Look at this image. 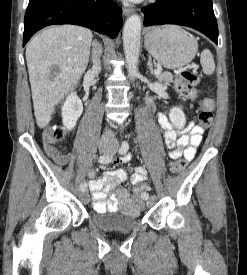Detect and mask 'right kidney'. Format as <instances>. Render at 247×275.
I'll return each mask as SVG.
<instances>
[{
	"label": "right kidney",
	"instance_id": "right-kidney-1",
	"mask_svg": "<svg viewBox=\"0 0 247 275\" xmlns=\"http://www.w3.org/2000/svg\"><path fill=\"white\" fill-rule=\"evenodd\" d=\"M83 112V104L76 93H71L62 106V122L63 125L68 129L72 130L79 117Z\"/></svg>",
	"mask_w": 247,
	"mask_h": 275
}]
</instances>
